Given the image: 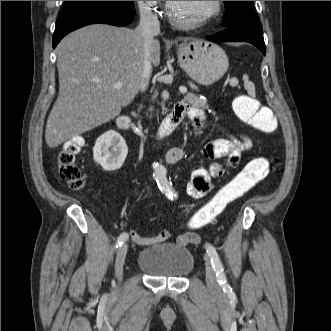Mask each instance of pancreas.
Masks as SVG:
<instances>
[{"label": "pancreas", "instance_id": "cf45deb5", "mask_svg": "<svg viewBox=\"0 0 331 331\" xmlns=\"http://www.w3.org/2000/svg\"><path fill=\"white\" fill-rule=\"evenodd\" d=\"M186 100L193 106L202 107V108L207 107V99H201L199 96L195 95L194 93H188L186 96Z\"/></svg>", "mask_w": 331, "mask_h": 331}]
</instances>
